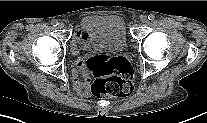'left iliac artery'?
Segmentation results:
<instances>
[{"label":"left iliac artery","instance_id":"1","mask_svg":"<svg viewBox=\"0 0 207 123\" xmlns=\"http://www.w3.org/2000/svg\"><path fill=\"white\" fill-rule=\"evenodd\" d=\"M148 19H149L150 21H154V19H155L154 14H150V15H148Z\"/></svg>","mask_w":207,"mask_h":123}]
</instances>
